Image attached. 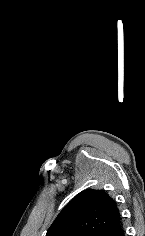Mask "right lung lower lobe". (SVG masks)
<instances>
[{
    "instance_id": "98d812e1",
    "label": "right lung lower lobe",
    "mask_w": 145,
    "mask_h": 236,
    "mask_svg": "<svg viewBox=\"0 0 145 236\" xmlns=\"http://www.w3.org/2000/svg\"><path fill=\"white\" fill-rule=\"evenodd\" d=\"M98 236H124L121 222L119 221L115 225L104 230Z\"/></svg>"
}]
</instances>
